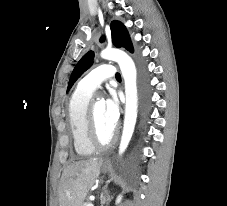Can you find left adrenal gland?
I'll use <instances>...</instances> for the list:
<instances>
[{
	"mask_svg": "<svg viewBox=\"0 0 227 206\" xmlns=\"http://www.w3.org/2000/svg\"><path fill=\"white\" fill-rule=\"evenodd\" d=\"M101 200H102V206H103L106 203L107 199L105 196L102 195Z\"/></svg>",
	"mask_w": 227,
	"mask_h": 206,
	"instance_id": "obj_1",
	"label": "left adrenal gland"
}]
</instances>
